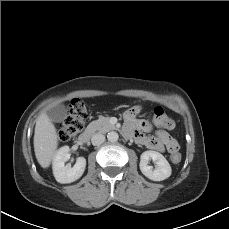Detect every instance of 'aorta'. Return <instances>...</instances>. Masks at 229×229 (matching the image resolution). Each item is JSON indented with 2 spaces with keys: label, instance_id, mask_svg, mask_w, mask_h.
<instances>
[{
  "label": "aorta",
  "instance_id": "1",
  "mask_svg": "<svg viewBox=\"0 0 229 229\" xmlns=\"http://www.w3.org/2000/svg\"><path fill=\"white\" fill-rule=\"evenodd\" d=\"M107 138H108V141L113 143V142L118 141L119 136L117 132L112 131L107 134Z\"/></svg>",
  "mask_w": 229,
  "mask_h": 229
}]
</instances>
